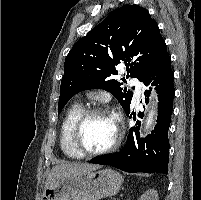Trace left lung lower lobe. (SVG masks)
I'll return each instance as SVG.
<instances>
[{
	"label": "left lung lower lobe",
	"mask_w": 201,
	"mask_h": 200,
	"mask_svg": "<svg viewBox=\"0 0 201 200\" xmlns=\"http://www.w3.org/2000/svg\"><path fill=\"white\" fill-rule=\"evenodd\" d=\"M174 73L171 69V57L166 52L155 67L143 78L149 86L157 85L158 118L154 130L145 138H139V126L131 128L125 146L117 153L96 157L89 163L110 165L125 172L168 174L169 140L168 130L173 109L175 89ZM145 102L148 103L150 91L145 90ZM130 112V111H129ZM127 112V116H129ZM142 113H140V116ZM139 124V123H138ZM135 131L137 142L133 132Z\"/></svg>",
	"instance_id": "1"
}]
</instances>
